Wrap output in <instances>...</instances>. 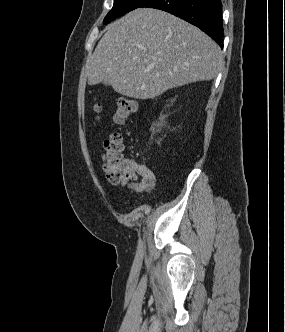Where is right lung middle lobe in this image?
Masks as SVG:
<instances>
[{
	"instance_id": "right-lung-middle-lobe-1",
	"label": "right lung middle lobe",
	"mask_w": 285,
	"mask_h": 332,
	"mask_svg": "<svg viewBox=\"0 0 285 332\" xmlns=\"http://www.w3.org/2000/svg\"><path fill=\"white\" fill-rule=\"evenodd\" d=\"M146 0H114L113 8L104 18L103 23L107 24L115 18L138 8Z\"/></svg>"
}]
</instances>
